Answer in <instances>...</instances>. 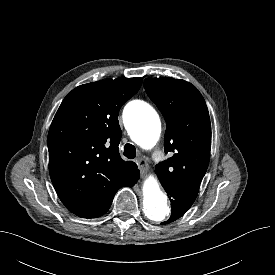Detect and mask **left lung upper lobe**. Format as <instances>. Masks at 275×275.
Instances as JSON below:
<instances>
[{
	"label": "left lung upper lobe",
	"instance_id": "obj_1",
	"mask_svg": "<svg viewBox=\"0 0 275 275\" xmlns=\"http://www.w3.org/2000/svg\"><path fill=\"white\" fill-rule=\"evenodd\" d=\"M144 86L166 120L165 152L172 156L156 165L167 184L198 191L207 171L211 123L201 93L191 83L170 77L147 78Z\"/></svg>",
	"mask_w": 275,
	"mask_h": 275
}]
</instances>
